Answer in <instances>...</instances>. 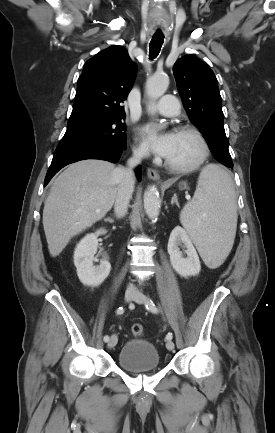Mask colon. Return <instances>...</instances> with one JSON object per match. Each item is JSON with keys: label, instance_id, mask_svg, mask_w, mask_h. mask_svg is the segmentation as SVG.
<instances>
[{"label": "colon", "instance_id": "colon-1", "mask_svg": "<svg viewBox=\"0 0 275 433\" xmlns=\"http://www.w3.org/2000/svg\"><path fill=\"white\" fill-rule=\"evenodd\" d=\"M131 331L135 337H142L144 335V327L141 324H134Z\"/></svg>", "mask_w": 275, "mask_h": 433}]
</instances>
